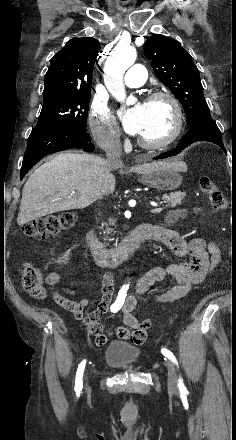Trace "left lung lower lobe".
Here are the masks:
<instances>
[{
  "label": "left lung lower lobe",
  "instance_id": "obj_1",
  "mask_svg": "<svg viewBox=\"0 0 236 440\" xmlns=\"http://www.w3.org/2000/svg\"><path fill=\"white\" fill-rule=\"evenodd\" d=\"M197 141L213 142L221 147L224 152H226L218 127L216 126L212 118H206L194 127L190 128L188 133L185 135V137L182 139L175 150L162 153L159 156L154 157L153 159H163L177 155L184 148Z\"/></svg>",
  "mask_w": 236,
  "mask_h": 440
}]
</instances>
